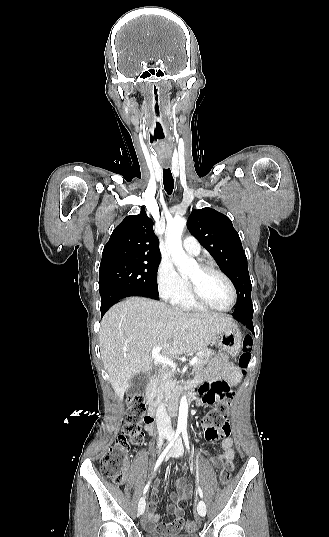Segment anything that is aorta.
<instances>
[{"label":"aorta","mask_w":329,"mask_h":537,"mask_svg":"<svg viewBox=\"0 0 329 537\" xmlns=\"http://www.w3.org/2000/svg\"><path fill=\"white\" fill-rule=\"evenodd\" d=\"M186 220L182 217H176L168 223L166 228V243L168 251L179 272L189 273L192 269L197 268V262L194 258L187 256L182 247L181 235L185 228ZM188 417V401L186 396H182L179 406L178 426L186 428Z\"/></svg>","instance_id":"1"}]
</instances>
